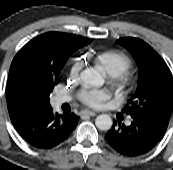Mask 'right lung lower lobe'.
I'll return each instance as SVG.
<instances>
[{"mask_svg": "<svg viewBox=\"0 0 173 170\" xmlns=\"http://www.w3.org/2000/svg\"><path fill=\"white\" fill-rule=\"evenodd\" d=\"M10 119L26 142L39 149H50L68 138L79 117L73 113L54 114L49 106L25 109L14 113Z\"/></svg>", "mask_w": 173, "mask_h": 170, "instance_id": "obj_1", "label": "right lung lower lobe"}]
</instances>
